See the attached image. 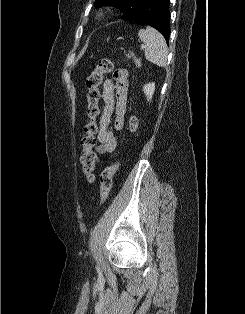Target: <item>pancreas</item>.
<instances>
[{
  "label": "pancreas",
  "instance_id": "pancreas-1",
  "mask_svg": "<svg viewBox=\"0 0 245 314\" xmlns=\"http://www.w3.org/2000/svg\"><path fill=\"white\" fill-rule=\"evenodd\" d=\"M127 57H128L129 59H130L131 57H132V58H135L134 55H133V53H131V54L128 55Z\"/></svg>",
  "mask_w": 245,
  "mask_h": 314
}]
</instances>
